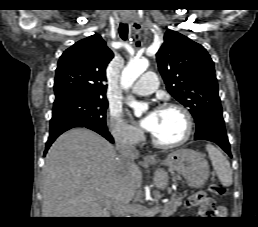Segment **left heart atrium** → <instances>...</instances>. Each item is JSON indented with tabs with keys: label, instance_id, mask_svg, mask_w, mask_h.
I'll return each mask as SVG.
<instances>
[{
	"label": "left heart atrium",
	"instance_id": "39dd6f15",
	"mask_svg": "<svg viewBox=\"0 0 258 227\" xmlns=\"http://www.w3.org/2000/svg\"><path fill=\"white\" fill-rule=\"evenodd\" d=\"M156 111H151L146 118H144L141 122L142 127L148 131H153L155 127V121H156V116H155Z\"/></svg>",
	"mask_w": 258,
	"mask_h": 227
}]
</instances>
